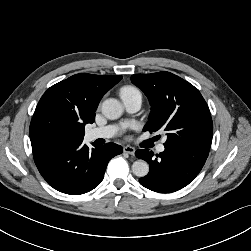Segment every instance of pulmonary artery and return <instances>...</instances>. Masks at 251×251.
Returning a JSON list of instances; mask_svg holds the SVG:
<instances>
[{
  "mask_svg": "<svg viewBox=\"0 0 251 251\" xmlns=\"http://www.w3.org/2000/svg\"><path fill=\"white\" fill-rule=\"evenodd\" d=\"M124 106L126 110L130 113L137 112L142 104L141 94L129 95L122 97ZM119 132V128L115 125H108L100 128H93L86 132V138L89 141L98 139V138H111ZM165 139L157 146L158 152H163L165 150L164 145Z\"/></svg>",
  "mask_w": 251,
  "mask_h": 251,
  "instance_id": "obj_1",
  "label": "pulmonary artery"
}]
</instances>
